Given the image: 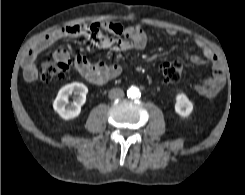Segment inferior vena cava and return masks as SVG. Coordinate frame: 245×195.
Returning <instances> with one entry per match:
<instances>
[{
  "instance_id": "obj_1",
  "label": "inferior vena cava",
  "mask_w": 245,
  "mask_h": 195,
  "mask_svg": "<svg viewBox=\"0 0 245 195\" xmlns=\"http://www.w3.org/2000/svg\"><path fill=\"white\" fill-rule=\"evenodd\" d=\"M108 96L110 99H119L124 96V91L120 88H113L109 91Z\"/></svg>"
}]
</instances>
